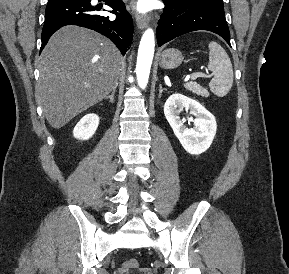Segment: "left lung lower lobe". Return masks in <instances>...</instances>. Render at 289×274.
Here are the masks:
<instances>
[{
  "label": "left lung lower lobe",
  "instance_id": "1",
  "mask_svg": "<svg viewBox=\"0 0 289 274\" xmlns=\"http://www.w3.org/2000/svg\"><path fill=\"white\" fill-rule=\"evenodd\" d=\"M165 9L157 27L158 46L196 30H208L230 44V32L226 23L223 5L210 2L184 3L171 6L164 1Z\"/></svg>",
  "mask_w": 289,
  "mask_h": 274
}]
</instances>
